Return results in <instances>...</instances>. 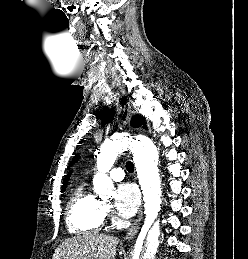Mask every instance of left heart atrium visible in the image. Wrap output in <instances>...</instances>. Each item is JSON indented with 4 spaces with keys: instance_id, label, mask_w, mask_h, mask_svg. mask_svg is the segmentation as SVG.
<instances>
[{
    "instance_id": "39dd6f15",
    "label": "left heart atrium",
    "mask_w": 248,
    "mask_h": 259,
    "mask_svg": "<svg viewBox=\"0 0 248 259\" xmlns=\"http://www.w3.org/2000/svg\"><path fill=\"white\" fill-rule=\"evenodd\" d=\"M140 196L137 188L128 183L120 184L115 193V208L123 217H131L137 210Z\"/></svg>"
}]
</instances>
